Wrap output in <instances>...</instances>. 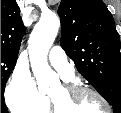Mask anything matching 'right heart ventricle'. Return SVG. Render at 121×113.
Here are the masks:
<instances>
[{"mask_svg":"<svg viewBox=\"0 0 121 113\" xmlns=\"http://www.w3.org/2000/svg\"><path fill=\"white\" fill-rule=\"evenodd\" d=\"M50 110H51L50 103H49L48 99L45 98V100L43 102V105H42V107H41L39 112H41V113H48Z\"/></svg>","mask_w":121,"mask_h":113,"instance_id":"obj_1","label":"right heart ventricle"}]
</instances>
